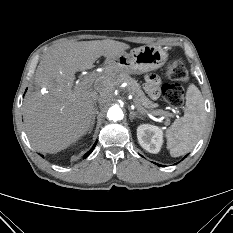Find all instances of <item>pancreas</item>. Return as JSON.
<instances>
[{"label": "pancreas", "mask_w": 233, "mask_h": 233, "mask_svg": "<svg viewBox=\"0 0 233 233\" xmlns=\"http://www.w3.org/2000/svg\"><path fill=\"white\" fill-rule=\"evenodd\" d=\"M113 71L115 72V79L117 82L127 83V89L129 93H131L134 96V103L135 105L143 109H149L151 112L156 111H162V110H155V108L158 107L156 103H153L149 98H147L141 89V86L139 83H137L136 80L128 76L126 73H124L122 70L114 68Z\"/></svg>", "instance_id": "cf45deb5"}]
</instances>
